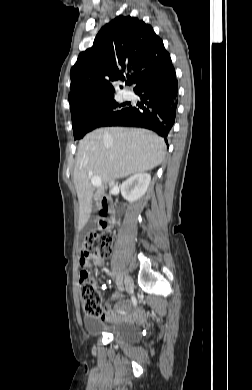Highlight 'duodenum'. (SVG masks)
Segmentation results:
<instances>
[{
    "label": "duodenum",
    "mask_w": 252,
    "mask_h": 390,
    "mask_svg": "<svg viewBox=\"0 0 252 390\" xmlns=\"http://www.w3.org/2000/svg\"><path fill=\"white\" fill-rule=\"evenodd\" d=\"M99 205L101 207L100 216L103 219L100 222V228L102 230H108L113 226L115 222L111 203L107 197L102 196L99 199Z\"/></svg>",
    "instance_id": "obj_1"
}]
</instances>
